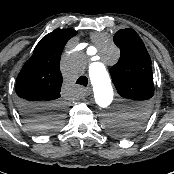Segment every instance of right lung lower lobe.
Instances as JSON below:
<instances>
[{
  "instance_id": "1",
  "label": "right lung lower lobe",
  "mask_w": 174,
  "mask_h": 174,
  "mask_svg": "<svg viewBox=\"0 0 174 174\" xmlns=\"http://www.w3.org/2000/svg\"><path fill=\"white\" fill-rule=\"evenodd\" d=\"M17 104L19 112L26 120H32L37 115L45 114L50 111H53L57 107H61L59 102L56 105H50V104H42V103L18 100Z\"/></svg>"
}]
</instances>
